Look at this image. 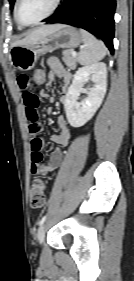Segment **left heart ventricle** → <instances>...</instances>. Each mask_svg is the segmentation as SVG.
<instances>
[{"mask_svg":"<svg viewBox=\"0 0 134 281\" xmlns=\"http://www.w3.org/2000/svg\"><path fill=\"white\" fill-rule=\"evenodd\" d=\"M55 0H21L19 4V16L25 23H32L44 15L52 8Z\"/></svg>","mask_w":134,"mask_h":281,"instance_id":"1","label":"left heart ventricle"}]
</instances>
